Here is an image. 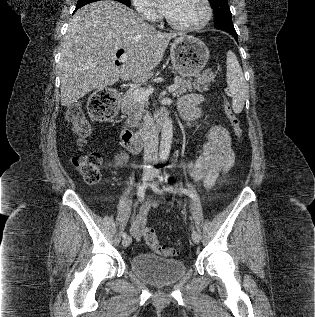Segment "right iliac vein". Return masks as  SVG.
<instances>
[{"mask_svg": "<svg viewBox=\"0 0 315 317\" xmlns=\"http://www.w3.org/2000/svg\"><path fill=\"white\" fill-rule=\"evenodd\" d=\"M143 184L147 185L149 181L152 180V174L150 172H144L143 174ZM132 242V239L130 236H127L123 239L122 244L124 247H128Z\"/></svg>", "mask_w": 315, "mask_h": 317, "instance_id": "right-iliac-vein-1", "label": "right iliac vein"}]
</instances>
